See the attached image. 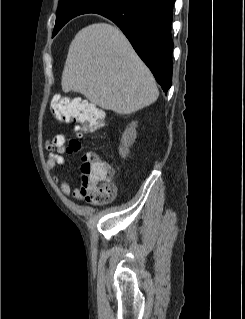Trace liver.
<instances>
[{
  "instance_id": "6515ba94",
  "label": "liver",
  "mask_w": 245,
  "mask_h": 319,
  "mask_svg": "<svg viewBox=\"0 0 245 319\" xmlns=\"http://www.w3.org/2000/svg\"><path fill=\"white\" fill-rule=\"evenodd\" d=\"M62 90L119 114H131L154 103L155 79L115 26L95 23L72 40L61 80Z\"/></svg>"
}]
</instances>
